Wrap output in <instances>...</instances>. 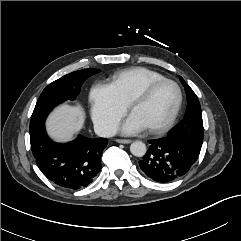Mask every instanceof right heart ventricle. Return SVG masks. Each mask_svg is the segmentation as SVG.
Segmentation results:
<instances>
[{"instance_id":"e07e8e85","label":"right heart ventricle","mask_w":241,"mask_h":241,"mask_svg":"<svg viewBox=\"0 0 241 241\" xmlns=\"http://www.w3.org/2000/svg\"><path fill=\"white\" fill-rule=\"evenodd\" d=\"M160 79H164V76L156 71L134 67L114 75L111 85L120 99L128 105L146 85Z\"/></svg>"}]
</instances>
